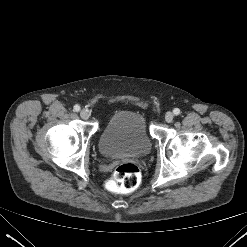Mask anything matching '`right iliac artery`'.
Segmentation results:
<instances>
[{"label":"right iliac artery","mask_w":247,"mask_h":247,"mask_svg":"<svg viewBox=\"0 0 247 247\" xmlns=\"http://www.w3.org/2000/svg\"><path fill=\"white\" fill-rule=\"evenodd\" d=\"M74 111L75 112H79L80 111V106L79 105H75L74 106Z\"/></svg>","instance_id":"right-iliac-artery-1"}]
</instances>
